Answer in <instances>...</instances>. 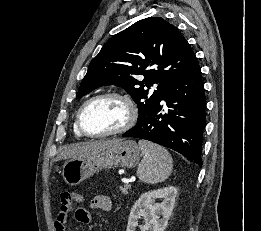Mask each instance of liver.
Instances as JSON below:
<instances>
[{"instance_id":"liver-1","label":"liver","mask_w":261,"mask_h":231,"mask_svg":"<svg viewBox=\"0 0 261 231\" xmlns=\"http://www.w3.org/2000/svg\"><path fill=\"white\" fill-rule=\"evenodd\" d=\"M119 140H105L87 143H78L64 147L57 156L56 161L61 159H81L99 153Z\"/></svg>"}]
</instances>
